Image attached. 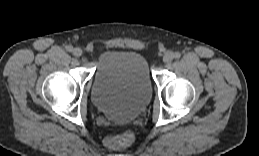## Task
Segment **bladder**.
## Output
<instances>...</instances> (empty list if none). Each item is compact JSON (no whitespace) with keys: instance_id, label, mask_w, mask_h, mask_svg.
<instances>
[{"instance_id":"31cf9c89","label":"bladder","mask_w":259,"mask_h":156,"mask_svg":"<svg viewBox=\"0 0 259 156\" xmlns=\"http://www.w3.org/2000/svg\"><path fill=\"white\" fill-rule=\"evenodd\" d=\"M91 95L96 107L109 118L136 117L152 95V79L145 57L131 51L103 53L96 66Z\"/></svg>"}]
</instances>
